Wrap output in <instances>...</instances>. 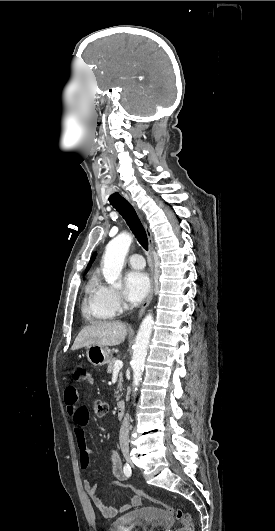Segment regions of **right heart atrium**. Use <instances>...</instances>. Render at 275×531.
Returning <instances> with one entry per match:
<instances>
[{
    "instance_id": "1",
    "label": "right heart atrium",
    "mask_w": 275,
    "mask_h": 531,
    "mask_svg": "<svg viewBox=\"0 0 275 531\" xmlns=\"http://www.w3.org/2000/svg\"><path fill=\"white\" fill-rule=\"evenodd\" d=\"M99 290L100 305L110 317L120 316L127 309V302L121 292L106 284H100Z\"/></svg>"
}]
</instances>
